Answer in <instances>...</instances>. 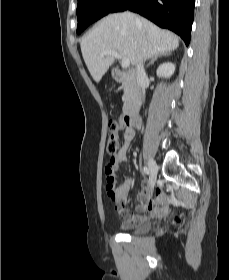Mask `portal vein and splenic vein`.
<instances>
[{"instance_id":"portal-vein-and-splenic-vein-1","label":"portal vein and splenic vein","mask_w":229,"mask_h":280,"mask_svg":"<svg viewBox=\"0 0 229 280\" xmlns=\"http://www.w3.org/2000/svg\"><path fill=\"white\" fill-rule=\"evenodd\" d=\"M101 55L103 57L107 56V55H111V56L115 57L116 59H120L122 68H127L130 65V60L128 58L123 57L122 55H120L116 51H111V50L110 51H104Z\"/></svg>"}]
</instances>
